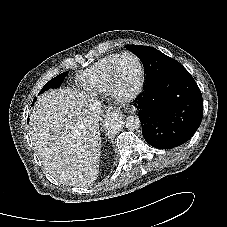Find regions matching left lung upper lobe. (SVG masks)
I'll list each match as a JSON object with an SVG mask.
<instances>
[{"instance_id":"1","label":"left lung upper lobe","mask_w":227,"mask_h":227,"mask_svg":"<svg viewBox=\"0 0 227 227\" xmlns=\"http://www.w3.org/2000/svg\"><path fill=\"white\" fill-rule=\"evenodd\" d=\"M126 48L132 51L142 61L146 71V85L168 73L184 69L178 61L153 47L126 45Z\"/></svg>"}]
</instances>
